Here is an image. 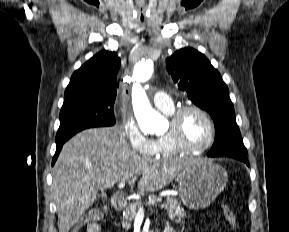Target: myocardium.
Returning <instances> with one entry per match:
<instances>
[{
	"instance_id": "f54148a6",
	"label": "myocardium",
	"mask_w": 289,
	"mask_h": 232,
	"mask_svg": "<svg viewBox=\"0 0 289 232\" xmlns=\"http://www.w3.org/2000/svg\"><path fill=\"white\" fill-rule=\"evenodd\" d=\"M188 111H196L202 117L206 120L208 127H209V137L207 141L200 145V146H190L182 138L181 134V120L183 116L188 112ZM170 128L168 132L166 133V136L172 143V145L179 151L183 153H188V154H196V153H201L208 149L215 141L216 137V128L215 124L209 115V113L204 110L202 107L196 105V104H187L180 106L174 110V112L170 115V120H169Z\"/></svg>"
}]
</instances>
